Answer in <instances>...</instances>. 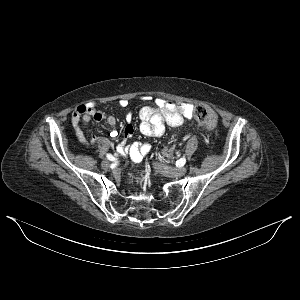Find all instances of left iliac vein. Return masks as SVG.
<instances>
[{"label": "left iliac vein", "instance_id": "4c4485c4", "mask_svg": "<svg viewBox=\"0 0 300 300\" xmlns=\"http://www.w3.org/2000/svg\"><path fill=\"white\" fill-rule=\"evenodd\" d=\"M153 165H154L155 169L160 171L165 176L171 177V178L184 176L187 172V169L185 167L172 168V167H168L166 165H163V164H160L157 162L154 163Z\"/></svg>", "mask_w": 300, "mask_h": 300}]
</instances>
